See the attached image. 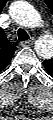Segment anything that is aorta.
Listing matches in <instances>:
<instances>
[{"label":"aorta","mask_w":53,"mask_h":120,"mask_svg":"<svg viewBox=\"0 0 53 120\" xmlns=\"http://www.w3.org/2000/svg\"><path fill=\"white\" fill-rule=\"evenodd\" d=\"M18 12L22 15L23 19L25 20V22H30L29 24H38L39 23V20L40 18L35 15V12L33 9H31L30 7L28 6H24V7H21L18 9ZM37 52L38 53H41L40 49L37 48Z\"/></svg>","instance_id":"762f6f07"}]
</instances>
